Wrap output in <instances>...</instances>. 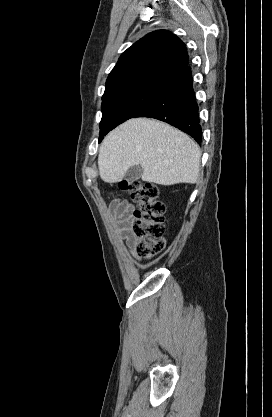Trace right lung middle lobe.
Segmentation results:
<instances>
[{
  "label": "right lung middle lobe",
  "instance_id": "1",
  "mask_svg": "<svg viewBox=\"0 0 272 417\" xmlns=\"http://www.w3.org/2000/svg\"><path fill=\"white\" fill-rule=\"evenodd\" d=\"M160 88L153 86L129 88L103 98L99 142L110 130L142 110Z\"/></svg>",
  "mask_w": 272,
  "mask_h": 417
}]
</instances>
